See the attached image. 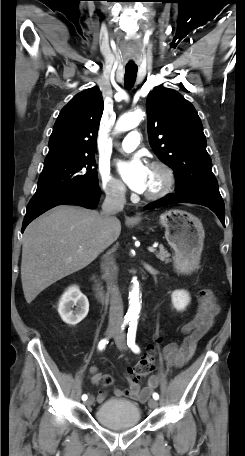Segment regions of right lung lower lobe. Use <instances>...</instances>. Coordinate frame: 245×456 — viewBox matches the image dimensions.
<instances>
[{
  "label": "right lung lower lobe",
  "mask_w": 245,
  "mask_h": 456,
  "mask_svg": "<svg viewBox=\"0 0 245 456\" xmlns=\"http://www.w3.org/2000/svg\"><path fill=\"white\" fill-rule=\"evenodd\" d=\"M99 188L91 190L64 191L41 197H33L24 217L22 232L26 226L45 211L61 204L79 205L85 208H95L99 199Z\"/></svg>",
  "instance_id": "right-lung-lower-lobe-1"
}]
</instances>
